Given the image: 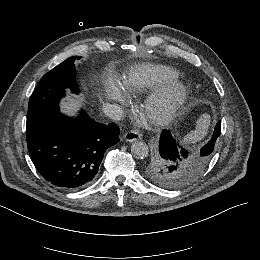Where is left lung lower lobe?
<instances>
[{
	"instance_id": "0a47b994",
	"label": "left lung lower lobe",
	"mask_w": 260,
	"mask_h": 260,
	"mask_svg": "<svg viewBox=\"0 0 260 260\" xmlns=\"http://www.w3.org/2000/svg\"><path fill=\"white\" fill-rule=\"evenodd\" d=\"M221 132V122L219 121L216 126L212 136V139L201 148L203 153H213L214 146L217 138ZM159 152L164 159L167 160H177L185 157L189 154L187 150L180 147L176 141L172 138L168 130H164L159 143Z\"/></svg>"
}]
</instances>
